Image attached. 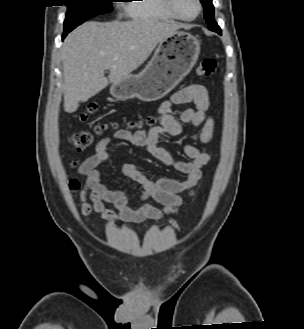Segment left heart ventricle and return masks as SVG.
Instances as JSON below:
<instances>
[{
	"mask_svg": "<svg viewBox=\"0 0 304 329\" xmlns=\"http://www.w3.org/2000/svg\"><path fill=\"white\" fill-rule=\"evenodd\" d=\"M177 12L186 17H192L197 13L198 5L196 0H173Z\"/></svg>",
	"mask_w": 304,
	"mask_h": 329,
	"instance_id": "b2bd125f",
	"label": "left heart ventricle"
}]
</instances>
